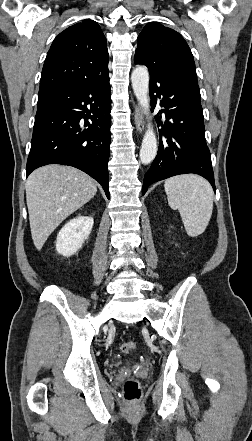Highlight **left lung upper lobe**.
Here are the masks:
<instances>
[{
	"mask_svg": "<svg viewBox=\"0 0 252 441\" xmlns=\"http://www.w3.org/2000/svg\"><path fill=\"white\" fill-rule=\"evenodd\" d=\"M134 62L146 65L150 74L178 69L197 83L193 55L186 41L178 32L159 23H148L139 34Z\"/></svg>",
	"mask_w": 252,
	"mask_h": 441,
	"instance_id": "1",
	"label": "left lung upper lobe"
}]
</instances>
